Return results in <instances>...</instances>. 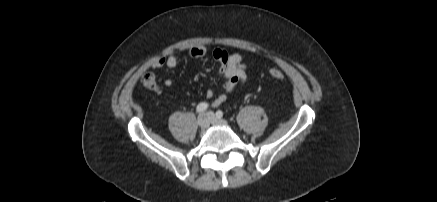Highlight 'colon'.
<instances>
[{
	"label": "colon",
	"mask_w": 437,
	"mask_h": 202,
	"mask_svg": "<svg viewBox=\"0 0 437 202\" xmlns=\"http://www.w3.org/2000/svg\"><path fill=\"white\" fill-rule=\"evenodd\" d=\"M269 74L272 78H274L276 80H282L285 77L284 73L279 69H271L269 71ZM141 82L148 89L156 90L158 88L156 78L150 72H147L142 76Z\"/></svg>",
	"instance_id": "5ec220e1"
}]
</instances>
